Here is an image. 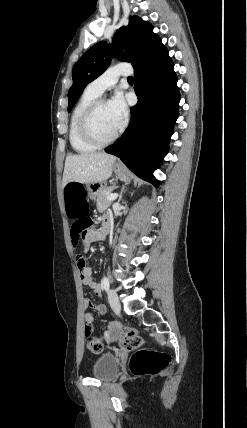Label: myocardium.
I'll list each match as a JSON object with an SVG mask.
<instances>
[{
    "instance_id": "obj_1",
    "label": "myocardium",
    "mask_w": 247,
    "mask_h": 428,
    "mask_svg": "<svg viewBox=\"0 0 247 428\" xmlns=\"http://www.w3.org/2000/svg\"><path fill=\"white\" fill-rule=\"evenodd\" d=\"M105 104L103 99L95 100L83 113L80 119V133L82 137L89 143L97 146L104 147L113 143L119 136L121 129L118 128L115 133L109 137L108 139L102 140L99 139L96 134L92 130L91 121L96 110Z\"/></svg>"
}]
</instances>
